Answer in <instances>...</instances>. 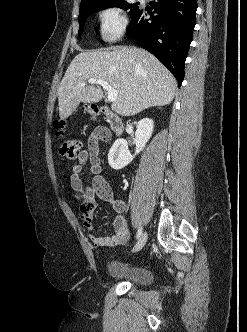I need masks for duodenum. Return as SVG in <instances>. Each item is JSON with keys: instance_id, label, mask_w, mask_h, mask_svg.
Listing matches in <instances>:
<instances>
[{"instance_id": "duodenum-1", "label": "duodenum", "mask_w": 247, "mask_h": 332, "mask_svg": "<svg viewBox=\"0 0 247 332\" xmlns=\"http://www.w3.org/2000/svg\"><path fill=\"white\" fill-rule=\"evenodd\" d=\"M101 111L106 116L111 131L117 136L121 135L124 130L121 118L107 107H101Z\"/></svg>"}]
</instances>
